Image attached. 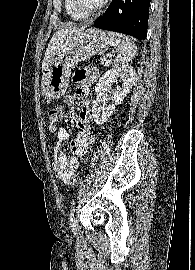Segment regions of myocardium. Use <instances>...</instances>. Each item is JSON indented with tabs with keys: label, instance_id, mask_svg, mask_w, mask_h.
Masks as SVG:
<instances>
[{
	"label": "myocardium",
	"instance_id": "1",
	"mask_svg": "<svg viewBox=\"0 0 195 270\" xmlns=\"http://www.w3.org/2000/svg\"><path fill=\"white\" fill-rule=\"evenodd\" d=\"M108 1L109 0H101V2L95 8L90 9V10H86V9L82 8L78 0H71V3H72L73 8L78 13H80L81 15L88 18L90 16H94L97 13H99L105 7V5L108 3Z\"/></svg>",
	"mask_w": 195,
	"mask_h": 270
}]
</instances>
